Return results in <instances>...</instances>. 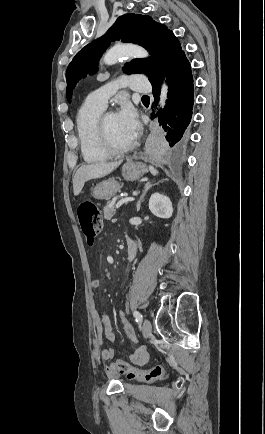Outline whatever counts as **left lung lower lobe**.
<instances>
[{"mask_svg": "<svg viewBox=\"0 0 265 434\" xmlns=\"http://www.w3.org/2000/svg\"><path fill=\"white\" fill-rule=\"evenodd\" d=\"M169 93L167 104L159 116L162 128L167 131L165 139H159L155 147L163 153L177 154L190 142L189 126L194 104V84L190 63L185 54L179 56L167 75ZM160 84L153 87V95L158 100ZM161 117V118H160Z\"/></svg>", "mask_w": 265, "mask_h": 434, "instance_id": "obj_1", "label": "left lung lower lobe"}]
</instances>
